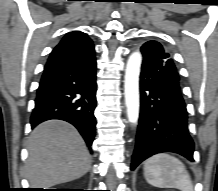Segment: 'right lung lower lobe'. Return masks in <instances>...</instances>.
Listing matches in <instances>:
<instances>
[{"instance_id": "98d812e1", "label": "right lung lower lobe", "mask_w": 218, "mask_h": 191, "mask_svg": "<svg viewBox=\"0 0 218 191\" xmlns=\"http://www.w3.org/2000/svg\"><path fill=\"white\" fill-rule=\"evenodd\" d=\"M96 60L92 40L66 34L51 52L37 89L31 126L60 119L73 124L87 146L95 137Z\"/></svg>"}]
</instances>
